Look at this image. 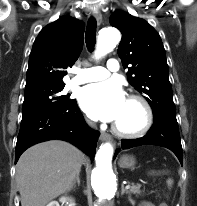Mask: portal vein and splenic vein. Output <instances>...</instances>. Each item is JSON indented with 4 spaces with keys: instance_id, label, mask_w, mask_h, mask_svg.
I'll use <instances>...</instances> for the list:
<instances>
[{
    "instance_id": "portal-vein-and-splenic-vein-1",
    "label": "portal vein and splenic vein",
    "mask_w": 197,
    "mask_h": 206,
    "mask_svg": "<svg viewBox=\"0 0 197 206\" xmlns=\"http://www.w3.org/2000/svg\"><path fill=\"white\" fill-rule=\"evenodd\" d=\"M126 189H129L130 188V185H126V187H125Z\"/></svg>"
}]
</instances>
